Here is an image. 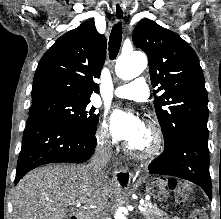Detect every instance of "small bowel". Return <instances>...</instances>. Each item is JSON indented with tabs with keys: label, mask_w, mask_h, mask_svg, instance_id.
I'll use <instances>...</instances> for the list:
<instances>
[{
	"label": "small bowel",
	"mask_w": 221,
	"mask_h": 219,
	"mask_svg": "<svg viewBox=\"0 0 221 219\" xmlns=\"http://www.w3.org/2000/svg\"><path fill=\"white\" fill-rule=\"evenodd\" d=\"M163 219H166V218H163ZM172 219H177V218H172Z\"/></svg>",
	"instance_id": "small-bowel-1"
}]
</instances>
